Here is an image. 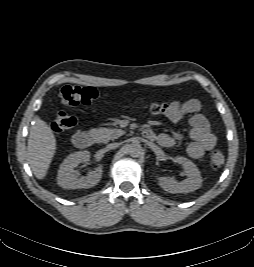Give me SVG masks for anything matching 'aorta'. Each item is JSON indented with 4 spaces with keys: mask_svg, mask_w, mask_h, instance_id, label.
Masks as SVG:
<instances>
[{
    "mask_svg": "<svg viewBox=\"0 0 254 267\" xmlns=\"http://www.w3.org/2000/svg\"><path fill=\"white\" fill-rule=\"evenodd\" d=\"M127 151L131 157L138 158L142 154V147L138 142H134L127 146Z\"/></svg>",
    "mask_w": 254,
    "mask_h": 267,
    "instance_id": "1",
    "label": "aorta"
}]
</instances>
